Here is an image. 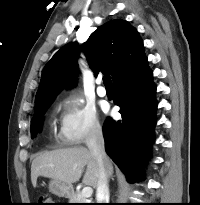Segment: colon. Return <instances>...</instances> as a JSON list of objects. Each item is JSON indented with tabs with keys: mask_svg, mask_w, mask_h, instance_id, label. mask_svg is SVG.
Instances as JSON below:
<instances>
[{
	"mask_svg": "<svg viewBox=\"0 0 200 205\" xmlns=\"http://www.w3.org/2000/svg\"><path fill=\"white\" fill-rule=\"evenodd\" d=\"M38 205H53V198L49 194H42L39 197Z\"/></svg>",
	"mask_w": 200,
	"mask_h": 205,
	"instance_id": "1",
	"label": "colon"
}]
</instances>
